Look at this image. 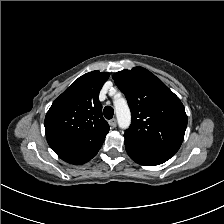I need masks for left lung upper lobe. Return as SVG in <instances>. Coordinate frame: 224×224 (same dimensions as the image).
<instances>
[{
    "mask_svg": "<svg viewBox=\"0 0 224 224\" xmlns=\"http://www.w3.org/2000/svg\"><path fill=\"white\" fill-rule=\"evenodd\" d=\"M113 79L125 94L132 114L124 136L177 152L187 127L180 99L142 67L119 71Z\"/></svg>",
    "mask_w": 224,
    "mask_h": 224,
    "instance_id": "obj_1",
    "label": "left lung upper lobe"
}]
</instances>
